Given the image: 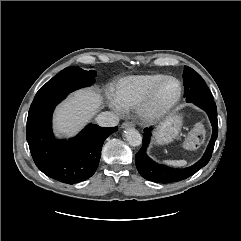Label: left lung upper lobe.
Wrapping results in <instances>:
<instances>
[{
	"mask_svg": "<svg viewBox=\"0 0 241 241\" xmlns=\"http://www.w3.org/2000/svg\"><path fill=\"white\" fill-rule=\"evenodd\" d=\"M186 102L197 99H213L203 78L192 68L185 66L183 73Z\"/></svg>",
	"mask_w": 241,
	"mask_h": 241,
	"instance_id": "left-lung-upper-lobe-1",
	"label": "left lung upper lobe"
}]
</instances>
